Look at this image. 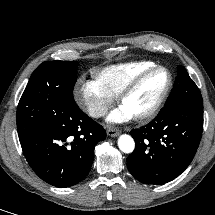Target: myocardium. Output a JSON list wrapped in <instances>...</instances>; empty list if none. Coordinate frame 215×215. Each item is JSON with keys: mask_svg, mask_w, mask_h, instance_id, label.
<instances>
[{"mask_svg": "<svg viewBox=\"0 0 215 215\" xmlns=\"http://www.w3.org/2000/svg\"><path fill=\"white\" fill-rule=\"evenodd\" d=\"M164 71L167 74V81L166 84L156 99V101L152 104V106L147 109L146 111L133 115L132 118L135 121L138 122H146L150 119H152L162 108L164 105L166 99L168 98V95L172 89L173 86V75L171 71L163 66V65H153L149 67L148 69L142 71L139 73L137 76H135L132 80H130L125 87L121 90L119 93V102L121 105H123L124 101L138 88V86L147 78L149 77L152 73L156 71Z\"/></svg>", "mask_w": 215, "mask_h": 215, "instance_id": "myocardium-1", "label": "myocardium"}]
</instances>
